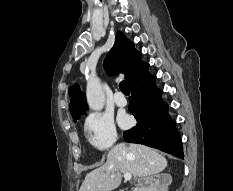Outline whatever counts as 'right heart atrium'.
<instances>
[{"instance_id":"d8ad5b80","label":"right heart atrium","mask_w":233,"mask_h":191,"mask_svg":"<svg viewBox=\"0 0 233 191\" xmlns=\"http://www.w3.org/2000/svg\"><path fill=\"white\" fill-rule=\"evenodd\" d=\"M85 132L93 147L103 151L109 149L117 139L113 119L102 113H92L85 121Z\"/></svg>"}]
</instances>
